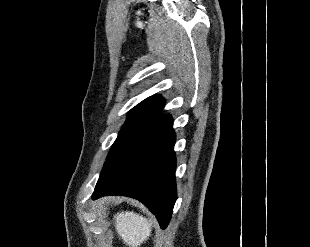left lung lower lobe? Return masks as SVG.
Instances as JSON below:
<instances>
[{
	"mask_svg": "<svg viewBox=\"0 0 310 247\" xmlns=\"http://www.w3.org/2000/svg\"><path fill=\"white\" fill-rule=\"evenodd\" d=\"M172 125L170 115L162 116L128 143L100 175L92 199L104 195L135 198L165 229L177 198Z\"/></svg>",
	"mask_w": 310,
	"mask_h": 247,
	"instance_id": "left-lung-lower-lobe-1",
	"label": "left lung lower lobe"
}]
</instances>
